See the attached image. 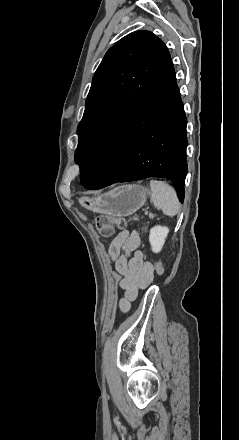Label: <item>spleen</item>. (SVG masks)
Listing matches in <instances>:
<instances>
[{
  "label": "spleen",
  "mask_w": 239,
  "mask_h": 440,
  "mask_svg": "<svg viewBox=\"0 0 239 440\" xmlns=\"http://www.w3.org/2000/svg\"><path fill=\"white\" fill-rule=\"evenodd\" d=\"M150 188L151 202L155 208L162 210L165 216H176L180 210V202L174 188L167 182H157V180H151Z\"/></svg>",
  "instance_id": "1"
}]
</instances>
